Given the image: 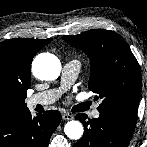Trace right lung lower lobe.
Listing matches in <instances>:
<instances>
[{
  "label": "right lung lower lobe",
  "mask_w": 147,
  "mask_h": 147,
  "mask_svg": "<svg viewBox=\"0 0 147 147\" xmlns=\"http://www.w3.org/2000/svg\"><path fill=\"white\" fill-rule=\"evenodd\" d=\"M61 121L57 110L32 117L28 109L0 123V147H48Z\"/></svg>",
  "instance_id": "obj_1"
}]
</instances>
